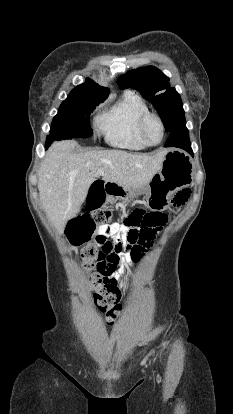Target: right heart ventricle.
<instances>
[{
    "instance_id": "e07e8e85",
    "label": "right heart ventricle",
    "mask_w": 233,
    "mask_h": 414,
    "mask_svg": "<svg viewBox=\"0 0 233 414\" xmlns=\"http://www.w3.org/2000/svg\"><path fill=\"white\" fill-rule=\"evenodd\" d=\"M147 112L149 108L144 100L139 95L127 91L121 100L100 116L98 128L111 146L143 150L150 145L139 132V121Z\"/></svg>"
}]
</instances>
